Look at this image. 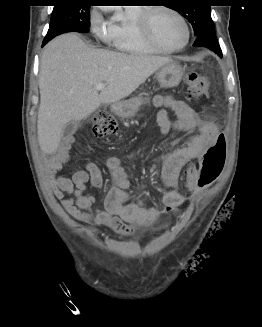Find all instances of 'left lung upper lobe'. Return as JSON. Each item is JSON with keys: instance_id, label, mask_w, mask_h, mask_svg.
Returning <instances> with one entry per match:
<instances>
[{"instance_id": "5c2ea615", "label": "left lung upper lobe", "mask_w": 262, "mask_h": 327, "mask_svg": "<svg viewBox=\"0 0 262 327\" xmlns=\"http://www.w3.org/2000/svg\"><path fill=\"white\" fill-rule=\"evenodd\" d=\"M182 1H170L172 9L183 15L192 25L195 36L197 37L207 29L214 27L211 18L210 6L205 4L204 0H194L193 5L179 4Z\"/></svg>"}]
</instances>
